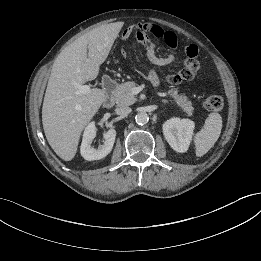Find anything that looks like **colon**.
<instances>
[{
  "label": "colon",
  "mask_w": 261,
  "mask_h": 261,
  "mask_svg": "<svg viewBox=\"0 0 261 261\" xmlns=\"http://www.w3.org/2000/svg\"><path fill=\"white\" fill-rule=\"evenodd\" d=\"M135 31V28L132 25H129L127 28H124L122 32L118 35V40L120 42H125L130 38V35ZM224 102L223 99L218 95H209L204 100V107L210 112H218L223 108Z\"/></svg>",
  "instance_id": "obj_1"
}]
</instances>
